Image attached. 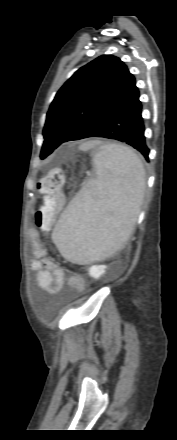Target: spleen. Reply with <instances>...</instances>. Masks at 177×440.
<instances>
[{"label": "spleen", "mask_w": 177, "mask_h": 440, "mask_svg": "<svg viewBox=\"0 0 177 440\" xmlns=\"http://www.w3.org/2000/svg\"><path fill=\"white\" fill-rule=\"evenodd\" d=\"M93 162L96 178L72 199L51 236L62 256L78 264L105 259L124 246L145 187L143 164L128 147L102 146Z\"/></svg>", "instance_id": "3e777b00"}]
</instances>
